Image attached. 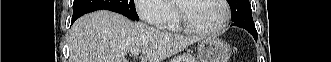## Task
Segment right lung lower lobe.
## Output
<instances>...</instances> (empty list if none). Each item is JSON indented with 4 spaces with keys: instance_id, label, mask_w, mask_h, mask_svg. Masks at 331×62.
Listing matches in <instances>:
<instances>
[{
    "instance_id": "right-lung-lower-lobe-1",
    "label": "right lung lower lobe",
    "mask_w": 331,
    "mask_h": 62,
    "mask_svg": "<svg viewBox=\"0 0 331 62\" xmlns=\"http://www.w3.org/2000/svg\"><path fill=\"white\" fill-rule=\"evenodd\" d=\"M78 17H72V21H71V24L75 22V20L77 19Z\"/></svg>"
}]
</instances>
